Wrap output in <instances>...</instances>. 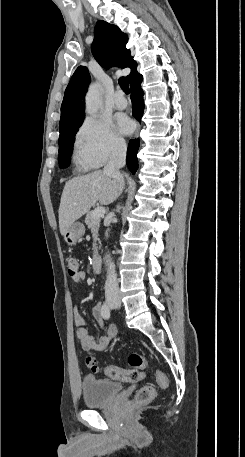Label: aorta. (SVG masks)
<instances>
[{
  "instance_id": "762f6f07",
  "label": "aorta",
  "mask_w": 245,
  "mask_h": 457,
  "mask_svg": "<svg viewBox=\"0 0 245 457\" xmlns=\"http://www.w3.org/2000/svg\"><path fill=\"white\" fill-rule=\"evenodd\" d=\"M102 86L100 83L96 82L89 86L88 92L85 97V107L86 112L90 115H95L98 110L102 107V98H101ZM109 254H106L104 257L105 264H108Z\"/></svg>"
}]
</instances>
